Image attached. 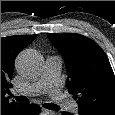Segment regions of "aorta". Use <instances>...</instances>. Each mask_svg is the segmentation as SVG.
<instances>
[{"instance_id": "obj_1", "label": "aorta", "mask_w": 115, "mask_h": 115, "mask_svg": "<svg viewBox=\"0 0 115 115\" xmlns=\"http://www.w3.org/2000/svg\"><path fill=\"white\" fill-rule=\"evenodd\" d=\"M42 67V57L34 50H25L17 57L16 68L18 73L23 77L29 79L38 77L42 71Z\"/></svg>"}]
</instances>
